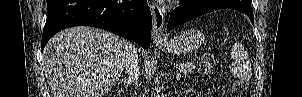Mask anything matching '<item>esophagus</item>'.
I'll return each instance as SVG.
<instances>
[{
	"label": "esophagus",
	"instance_id": "34e87169",
	"mask_svg": "<svg viewBox=\"0 0 302 97\" xmlns=\"http://www.w3.org/2000/svg\"><path fill=\"white\" fill-rule=\"evenodd\" d=\"M150 8L153 17L152 38L155 43H161L166 39L163 33L165 11L157 3H151Z\"/></svg>",
	"mask_w": 302,
	"mask_h": 97
}]
</instances>
